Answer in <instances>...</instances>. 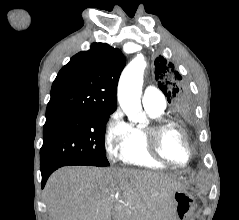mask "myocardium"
<instances>
[{
	"instance_id": "obj_1",
	"label": "myocardium",
	"mask_w": 239,
	"mask_h": 220,
	"mask_svg": "<svg viewBox=\"0 0 239 220\" xmlns=\"http://www.w3.org/2000/svg\"><path fill=\"white\" fill-rule=\"evenodd\" d=\"M169 129H175L178 131L185 143L187 148V158L183 162H176L169 159L161 149L162 136ZM143 131L146 137L148 151L155 159L176 167L185 166L190 162L192 158L191 143L186 130L179 123L163 117L150 119L143 127Z\"/></svg>"
}]
</instances>
